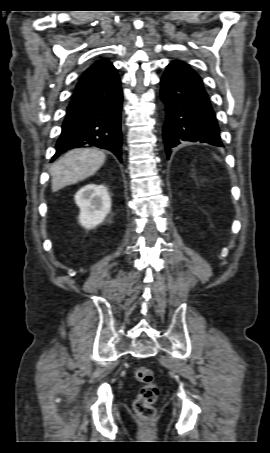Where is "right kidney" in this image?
<instances>
[{
	"instance_id": "1",
	"label": "right kidney",
	"mask_w": 270,
	"mask_h": 453,
	"mask_svg": "<svg viewBox=\"0 0 270 453\" xmlns=\"http://www.w3.org/2000/svg\"><path fill=\"white\" fill-rule=\"evenodd\" d=\"M80 208L79 223L86 229L95 228L110 212L111 199L104 185L87 184L75 195Z\"/></svg>"
}]
</instances>
